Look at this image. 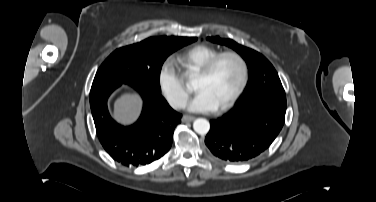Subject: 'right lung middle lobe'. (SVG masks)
Masks as SVG:
<instances>
[{
	"label": "right lung middle lobe",
	"mask_w": 376,
	"mask_h": 202,
	"mask_svg": "<svg viewBox=\"0 0 376 202\" xmlns=\"http://www.w3.org/2000/svg\"><path fill=\"white\" fill-rule=\"evenodd\" d=\"M196 37H150L115 50L98 69L92 87L105 83L145 84L160 91V71L165 59Z\"/></svg>",
	"instance_id": "1"
}]
</instances>
